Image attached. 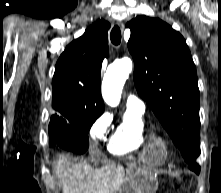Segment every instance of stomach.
I'll use <instances>...</instances> for the list:
<instances>
[{
	"label": "stomach",
	"instance_id": "0dacf381",
	"mask_svg": "<svg viewBox=\"0 0 221 193\" xmlns=\"http://www.w3.org/2000/svg\"><path fill=\"white\" fill-rule=\"evenodd\" d=\"M150 141L148 147H154V150H145V154L142 155L143 160L127 163L130 178L126 180L120 193H152L154 190L151 183L158 179V174H153L154 167L166 166L164 159L168 155V150H161L156 137H151Z\"/></svg>",
	"mask_w": 221,
	"mask_h": 193
}]
</instances>
